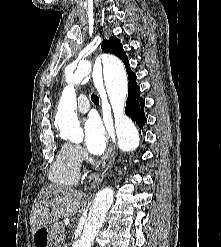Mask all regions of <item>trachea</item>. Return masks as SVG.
<instances>
[{
    "instance_id": "trachea-1",
    "label": "trachea",
    "mask_w": 221,
    "mask_h": 247,
    "mask_svg": "<svg viewBox=\"0 0 221 247\" xmlns=\"http://www.w3.org/2000/svg\"><path fill=\"white\" fill-rule=\"evenodd\" d=\"M91 100L94 104L98 105L99 104V97L95 94L91 95Z\"/></svg>"
}]
</instances>
